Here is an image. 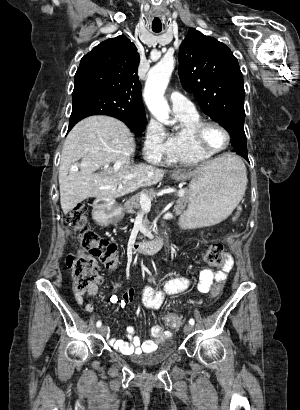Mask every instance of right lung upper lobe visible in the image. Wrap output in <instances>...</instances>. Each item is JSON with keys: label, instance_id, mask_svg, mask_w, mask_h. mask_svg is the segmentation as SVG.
Here are the masks:
<instances>
[{"label": "right lung upper lobe", "instance_id": "cb5924a9", "mask_svg": "<svg viewBox=\"0 0 300 410\" xmlns=\"http://www.w3.org/2000/svg\"><path fill=\"white\" fill-rule=\"evenodd\" d=\"M139 60L137 49L128 38H110L81 59L74 86L91 85L100 88L113 97L116 114L145 118L137 75Z\"/></svg>", "mask_w": 300, "mask_h": 410}]
</instances>
